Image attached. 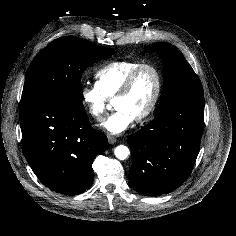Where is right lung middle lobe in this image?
<instances>
[{"label": "right lung middle lobe", "instance_id": "right-lung-middle-lobe-1", "mask_svg": "<svg viewBox=\"0 0 236 236\" xmlns=\"http://www.w3.org/2000/svg\"><path fill=\"white\" fill-rule=\"evenodd\" d=\"M114 53L110 48L77 37L65 36L52 41L36 55L28 68L21 104L50 99L83 106V71Z\"/></svg>", "mask_w": 236, "mask_h": 236}]
</instances>
